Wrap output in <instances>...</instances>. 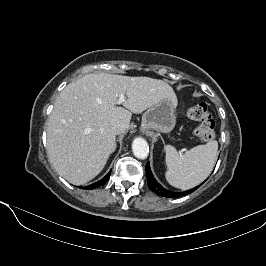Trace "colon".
Returning <instances> with one entry per match:
<instances>
[{
    "label": "colon",
    "instance_id": "colon-1",
    "mask_svg": "<svg viewBox=\"0 0 266 266\" xmlns=\"http://www.w3.org/2000/svg\"><path fill=\"white\" fill-rule=\"evenodd\" d=\"M187 116L199 123L194 133L200 141L208 142L215 137V124L205 103L189 106L187 108Z\"/></svg>",
    "mask_w": 266,
    "mask_h": 266
}]
</instances>
